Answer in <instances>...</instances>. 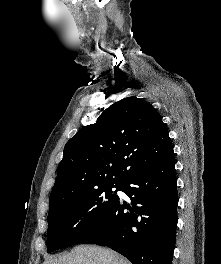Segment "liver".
<instances>
[{
	"label": "liver",
	"mask_w": 221,
	"mask_h": 264,
	"mask_svg": "<svg viewBox=\"0 0 221 264\" xmlns=\"http://www.w3.org/2000/svg\"><path fill=\"white\" fill-rule=\"evenodd\" d=\"M43 264H131L118 253L98 246H77L70 253L47 258Z\"/></svg>",
	"instance_id": "obj_1"
}]
</instances>
